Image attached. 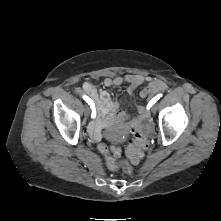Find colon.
<instances>
[{
  "instance_id": "5ec220e1",
  "label": "colon",
  "mask_w": 221,
  "mask_h": 221,
  "mask_svg": "<svg viewBox=\"0 0 221 221\" xmlns=\"http://www.w3.org/2000/svg\"><path fill=\"white\" fill-rule=\"evenodd\" d=\"M132 135L133 139L127 145L125 153L132 164H137L143 157L144 151L147 149V141L144 136H142L136 130H132ZM98 150L104 155L107 165L110 169H116L121 166L126 174L132 173L133 169L130 163H118L117 159L121 155V149L119 147L100 143L98 145Z\"/></svg>"
}]
</instances>
